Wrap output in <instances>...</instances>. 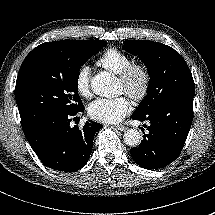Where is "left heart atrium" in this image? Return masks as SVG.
<instances>
[{"instance_id": "1", "label": "left heart atrium", "mask_w": 215, "mask_h": 215, "mask_svg": "<svg viewBox=\"0 0 215 215\" xmlns=\"http://www.w3.org/2000/svg\"><path fill=\"white\" fill-rule=\"evenodd\" d=\"M131 102L127 96L113 99L98 98L88 109L89 116L101 123L113 124L121 121L129 114Z\"/></svg>"}]
</instances>
